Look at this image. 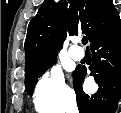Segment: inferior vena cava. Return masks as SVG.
I'll return each instance as SVG.
<instances>
[{
    "label": "inferior vena cava",
    "mask_w": 121,
    "mask_h": 113,
    "mask_svg": "<svg viewBox=\"0 0 121 113\" xmlns=\"http://www.w3.org/2000/svg\"><path fill=\"white\" fill-rule=\"evenodd\" d=\"M68 113H78V108L76 104H73L69 107Z\"/></svg>",
    "instance_id": "inferior-vena-cava-1"
}]
</instances>
